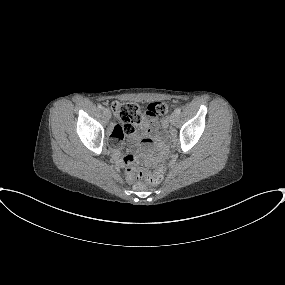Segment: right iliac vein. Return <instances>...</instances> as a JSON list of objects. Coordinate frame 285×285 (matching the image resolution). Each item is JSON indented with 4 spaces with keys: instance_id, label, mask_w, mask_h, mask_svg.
Masks as SVG:
<instances>
[{
    "instance_id": "right-iliac-vein-1",
    "label": "right iliac vein",
    "mask_w": 285,
    "mask_h": 285,
    "mask_svg": "<svg viewBox=\"0 0 285 285\" xmlns=\"http://www.w3.org/2000/svg\"><path fill=\"white\" fill-rule=\"evenodd\" d=\"M103 113L106 116V118H111V111L108 108L103 109Z\"/></svg>"
}]
</instances>
